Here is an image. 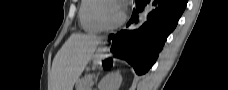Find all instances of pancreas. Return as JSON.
I'll use <instances>...</instances> for the list:
<instances>
[{
    "label": "pancreas",
    "mask_w": 228,
    "mask_h": 90,
    "mask_svg": "<svg viewBox=\"0 0 228 90\" xmlns=\"http://www.w3.org/2000/svg\"><path fill=\"white\" fill-rule=\"evenodd\" d=\"M93 83V75H88L81 79L77 85V90H90Z\"/></svg>",
    "instance_id": "1"
}]
</instances>
